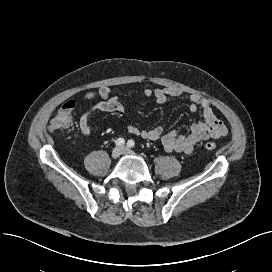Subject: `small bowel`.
Listing matches in <instances>:
<instances>
[{
	"label": "small bowel",
	"mask_w": 272,
	"mask_h": 272,
	"mask_svg": "<svg viewBox=\"0 0 272 272\" xmlns=\"http://www.w3.org/2000/svg\"><path fill=\"white\" fill-rule=\"evenodd\" d=\"M112 91L107 86H102L98 89L86 92L83 95L85 101H90L99 98L100 101L87 109L79 118V129L85 136L92 134V129L89 124L91 115L97 111L117 112L125 111V106L122 100L117 96L111 95ZM146 97H153L158 103L165 102L170 97H184V92L175 87L167 88H146L144 90ZM189 109L192 112L200 111L202 119L192 124L186 134L176 130L164 132L162 127L152 129H142L133 125L127 127L129 134L140 136L150 141L160 140L163 148L168 152H180L189 154L193 151L194 146L209 138H220L227 135L228 130L225 124L215 115L213 105L210 100L204 99L198 95L187 97ZM68 106L71 108V113L76 107L75 101L71 100L63 104L62 107Z\"/></svg>",
	"instance_id": "c3829d8e"
}]
</instances>
